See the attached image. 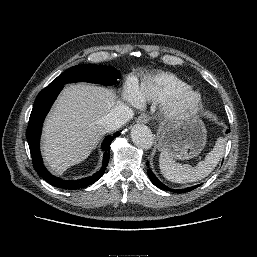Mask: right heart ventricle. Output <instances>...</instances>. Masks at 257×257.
<instances>
[{"label":"right heart ventricle","mask_w":257,"mask_h":257,"mask_svg":"<svg viewBox=\"0 0 257 257\" xmlns=\"http://www.w3.org/2000/svg\"><path fill=\"white\" fill-rule=\"evenodd\" d=\"M188 84L176 75L168 72H156L144 76L140 83L133 85L136 103L162 102L174 92Z\"/></svg>","instance_id":"obj_1"}]
</instances>
